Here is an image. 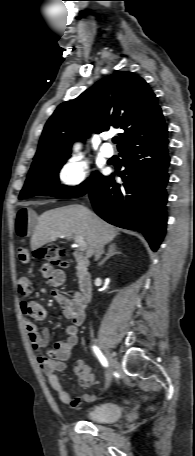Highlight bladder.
Instances as JSON below:
<instances>
[{
	"instance_id": "bladder-1",
	"label": "bladder",
	"mask_w": 195,
	"mask_h": 456,
	"mask_svg": "<svg viewBox=\"0 0 195 456\" xmlns=\"http://www.w3.org/2000/svg\"><path fill=\"white\" fill-rule=\"evenodd\" d=\"M122 416V408L112 402L99 403L85 412V417L95 423H112Z\"/></svg>"
}]
</instances>
